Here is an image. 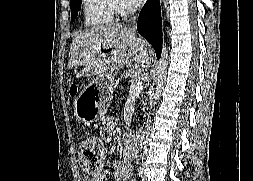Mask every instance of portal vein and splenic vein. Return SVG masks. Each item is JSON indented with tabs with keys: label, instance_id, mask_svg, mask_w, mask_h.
<instances>
[{
	"label": "portal vein and splenic vein",
	"instance_id": "portal-vein-and-splenic-vein-1",
	"mask_svg": "<svg viewBox=\"0 0 253 181\" xmlns=\"http://www.w3.org/2000/svg\"><path fill=\"white\" fill-rule=\"evenodd\" d=\"M132 78L130 91L139 92L142 89V82L133 76Z\"/></svg>",
	"mask_w": 253,
	"mask_h": 181
}]
</instances>
